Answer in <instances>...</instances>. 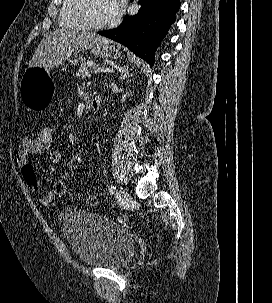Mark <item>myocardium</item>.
I'll return each mask as SVG.
<instances>
[{"label": "myocardium", "instance_id": "f54148a6", "mask_svg": "<svg viewBox=\"0 0 272 303\" xmlns=\"http://www.w3.org/2000/svg\"><path fill=\"white\" fill-rule=\"evenodd\" d=\"M89 0H76V4L74 7V13L78 20L84 25V27L91 30H102L109 27H112L115 24V20L112 19L106 23H94L88 16L87 8H88Z\"/></svg>", "mask_w": 272, "mask_h": 303}]
</instances>
